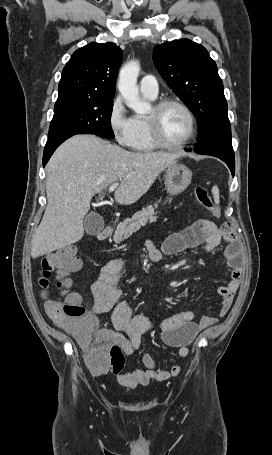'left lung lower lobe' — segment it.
Masks as SVG:
<instances>
[{
	"instance_id": "left-lung-lower-lobe-1",
	"label": "left lung lower lobe",
	"mask_w": 272,
	"mask_h": 455,
	"mask_svg": "<svg viewBox=\"0 0 272 455\" xmlns=\"http://www.w3.org/2000/svg\"><path fill=\"white\" fill-rule=\"evenodd\" d=\"M191 151V149H186ZM197 154L212 155L223 160L235 174V156L231 142V131L218 134L196 144L193 150Z\"/></svg>"
}]
</instances>
